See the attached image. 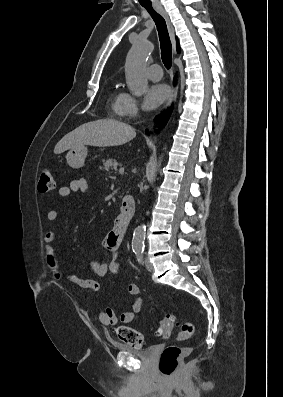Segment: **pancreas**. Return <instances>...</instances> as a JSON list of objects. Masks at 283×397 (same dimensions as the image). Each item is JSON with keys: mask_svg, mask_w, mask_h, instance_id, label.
Wrapping results in <instances>:
<instances>
[{"mask_svg": "<svg viewBox=\"0 0 283 397\" xmlns=\"http://www.w3.org/2000/svg\"><path fill=\"white\" fill-rule=\"evenodd\" d=\"M103 169L106 171L114 170L117 166L118 163L115 159H107L106 161H103Z\"/></svg>", "mask_w": 283, "mask_h": 397, "instance_id": "obj_1", "label": "pancreas"}]
</instances>
